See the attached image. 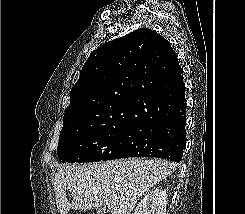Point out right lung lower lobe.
Segmentation results:
<instances>
[{"label": "right lung lower lobe", "mask_w": 245, "mask_h": 214, "mask_svg": "<svg viewBox=\"0 0 245 214\" xmlns=\"http://www.w3.org/2000/svg\"><path fill=\"white\" fill-rule=\"evenodd\" d=\"M176 54L169 61L165 89L149 100L131 120L118 151L119 158L158 157L180 162L186 145V99Z\"/></svg>", "instance_id": "obj_1"}]
</instances>
